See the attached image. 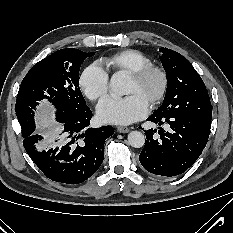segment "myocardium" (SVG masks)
I'll list each match as a JSON object with an SVG mask.
<instances>
[{
  "instance_id": "1",
  "label": "myocardium",
  "mask_w": 233,
  "mask_h": 233,
  "mask_svg": "<svg viewBox=\"0 0 233 233\" xmlns=\"http://www.w3.org/2000/svg\"><path fill=\"white\" fill-rule=\"evenodd\" d=\"M151 74H156L160 80V86L157 94L148 103L149 105L154 106L159 104L167 94L169 88V76L167 71L160 66L151 64L131 73L130 78L136 82H142Z\"/></svg>"
}]
</instances>
